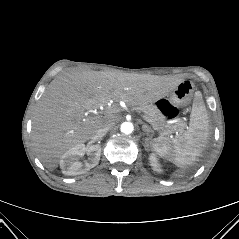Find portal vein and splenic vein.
Here are the masks:
<instances>
[{
	"label": "portal vein and splenic vein",
	"instance_id": "1",
	"mask_svg": "<svg viewBox=\"0 0 239 239\" xmlns=\"http://www.w3.org/2000/svg\"><path fill=\"white\" fill-rule=\"evenodd\" d=\"M111 112H115V110H113V109H111ZM142 118L145 120V121H147V122H149L151 125H152V121H151V119H149L146 115H142Z\"/></svg>",
	"mask_w": 239,
	"mask_h": 239
}]
</instances>
